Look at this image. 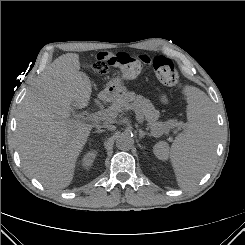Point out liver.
<instances>
[{
    "label": "liver",
    "instance_id": "1",
    "mask_svg": "<svg viewBox=\"0 0 245 245\" xmlns=\"http://www.w3.org/2000/svg\"><path fill=\"white\" fill-rule=\"evenodd\" d=\"M91 92L79 55L68 53L47 67L21 103L16 128L20 159L45 187L63 189L73 179L92 125L70 119V111L87 107Z\"/></svg>",
    "mask_w": 245,
    "mask_h": 245
}]
</instances>
